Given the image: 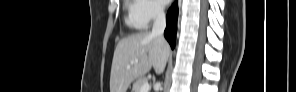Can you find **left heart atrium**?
I'll return each instance as SVG.
<instances>
[{"instance_id": "left-heart-atrium-1", "label": "left heart atrium", "mask_w": 296, "mask_h": 92, "mask_svg": "<svg viewBox=\"0 0 296 92\" xmlns=\"http://www.w3.org/2000/svg\"><path fill=\"white\" fill-rule=\"evenodd\" d=\"M159 3L166 4L167 2L165 0H159Z\"/></svg>"}]
</instances>
